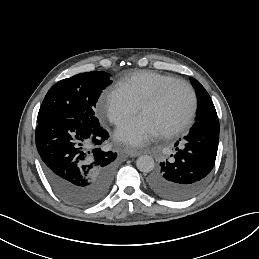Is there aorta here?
Masks as SVG:
<instances>
[{"label": "aorta", "instance_id": "obj_1", "mask_svg": "<svg viewBox=\"0 0 259 259\" xmlns=\"http://www.w3.org/2000/svg\"><path fill=\"white\" fill-rule=\"evenodd\" d=\"M138 170L143 173H149L154 169V159L149 155H142L136 160Z\"/></svg>", "mask_w": 259, "mask_h": 259}]
</instances>
